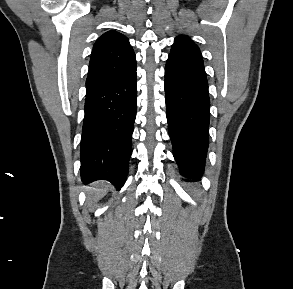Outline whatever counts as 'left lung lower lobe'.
<instances>
[{
    "label": "left lung lower lobe",
    "instance_id": "0a47b994",
    "mask_svg": "<svg viewBox=\"0 0 293 289\" xmlns=\"http://www.w3.org/2000/svg\"><path fill=\"white\" fill-rule=\"evenodd\" d=\"M165 94L174 158L183 176L198 180L204 172L210 119L203 61L187 55L169 54Z\"/></svg>",
    "mask_w": 293,
    "mask_h": 289
}]
</instances>
